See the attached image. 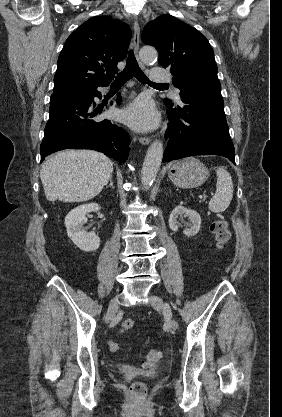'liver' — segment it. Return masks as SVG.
Returning <instances> with one entry per match:
<instances>
[{"instance_id":"6515ba94","label":"liver","mask_w":282,"mask_h":417,"mask_svg":"<svg viewBox=\"0 0 282 417\" xmlns=\"http://www.w3.org/2000/svg\"><path fill=\"white\" fill-rule=\"evenodd\" d=\"M113 162L96 150H61L45 160L40 170L47 200L83 202L108 184Z\"/></svg>"}]
</instances>
